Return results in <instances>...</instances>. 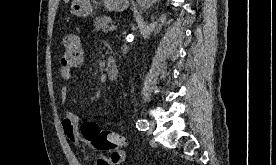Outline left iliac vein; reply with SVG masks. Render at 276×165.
<instances>
[{
	"label": "left iliac vein",
	"mask_w": 276,
	"mask_h": 165,
	"mask_svg": "<svg viewBox=\"0 0 276 165\" xmlns=\"http://www.w3.org/2000/svg\"><path fill=\"white\" fill-rule=\"evenodd\" d=\"M155 128V122L154 121H150L149 122V128H148V134H152L153 130Z\"/></svg>",
	"instance_id": "left-iliac-vein-1"
}]
</instances>
